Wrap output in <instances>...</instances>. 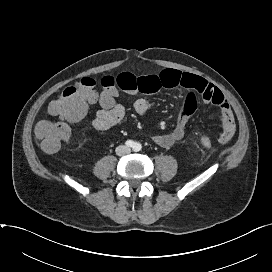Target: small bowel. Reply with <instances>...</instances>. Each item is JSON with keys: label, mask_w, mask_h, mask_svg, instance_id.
I'll return each instance as SVG.
<instances>
[{"label": "small bowel", "mask_w": 272, "mask_h": 272, "mask_svg": "<svg viewBox=\"0 0 272 272\" xmlns=\"http://www.w3.org/2000/svg\"><path fill=\"white\" fill-rule=\"evenodd\" d=\"M117 87L129 94L157 93L161 89H173L183 87L187 94L182 105L181 116L174 129L165 134H157L153 141L163 147L169 148L180 141L186 131L187 123L191 115L196 111L199 100L213 104L220 110V135L219 143L226 144L235 133V121L232 110L223 93L205 79L190 73H184L174 69H166L155 74L135 75L131 72H122L116 78ZM151 103L140 98L134 102L137 114L145 115L151 110ZM125 117V108L115 103L109 108L103 107L97 111L92 125L99 131H105L118 124Z\"/></svg>", "instance_id": "c3829d8e"}]
</instances>
